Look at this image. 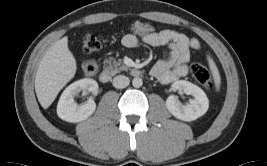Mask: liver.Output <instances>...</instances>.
Returning a JSON list of instances; mask_svg holds the SVG:
<instances>
[{"instance_id": "liver-1", "label": "liver", "mask_w": 267, "mask_h": 166, "mask_svg": "<svg viewBox=\"0 0 267 166\" xmlns=\"http://www.w3.org/2000/svg\"><path fill=\"white\" fill-rule=\"evenodd\" d=\"M76 69V60L65 36L47 50L36 72L35 92L44 109L53 103L60 90L74 77Z\"/></svg>"}]
</instances>
